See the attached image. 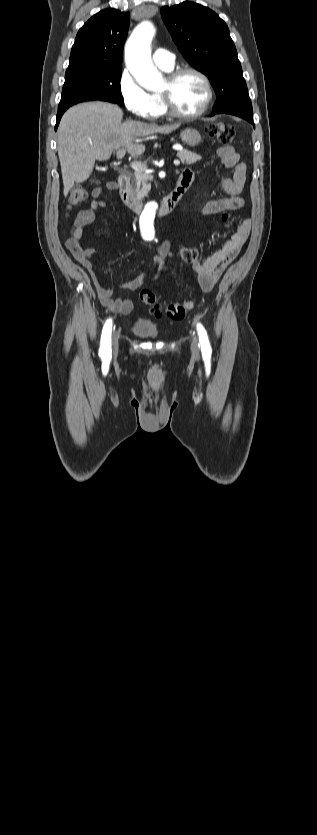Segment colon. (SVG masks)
<instances>
[{"mask_svg": "<svg viewBox=\"0 0 317 835\" xmlns=\"http://www.w3.org/2000/svg\"><path fill=\"white\" fill-rule=\"evenodd\" d=\"M207 132L210 136H212L218 142L224 145L229 144L235 136L234 127L224 123H214L209 125L207 128ZM86 195V190L83 187H72L68 195L69 208H73L81 204L85 200ZM227 218V214H224L222 216V219L224 221L227 220ZM180 254L184 260L190 261L198 258L199 252L195 247H183L181 249ZM139 297L144 304L153 307L154 312L157 316L165 314L167 317L173 320H182L191 307V303L187 302L174 303L162 306L158 303L155 294L149 289L141 290Z\"/></svg>", "mask_w": 317, "mask_h": 835, "instance_id": "1", "label": "colon"}]
</instances>
